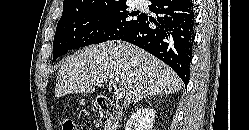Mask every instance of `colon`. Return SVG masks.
Listing matches in <instances>:
<instances>
[{
    "instance_id": "colon-1",
    "label": "colon",
    "mask_w": 249,
    "mask_h": 130,
    "mask_svg": "<svg viewBox=\"0 0 249 130\" xmlns=\"http://www.w3.org/2000/svg\"><path fill=\"white\" fill-rule=\"evenodd\" d=\"M59 125L61 130H82L81 126L69 117L62 118Z\"/></svg>"
}]
</instances>
